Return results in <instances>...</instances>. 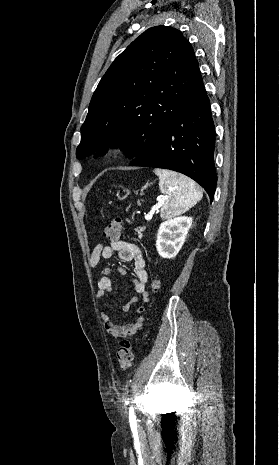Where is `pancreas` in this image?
I'll list each match as a JSON object with an SVG mask.
<instances>
[{
	"label": "pancreas",
	"instance_id": "pancreas-1",
	"mask_svg": "<svg viewBox=\"0 0 279 465\" xmlns=\"http://www.w3.org/2000/svg\"><path fill=\"white\" fill-rule=\"evenodd\" d=\"M145 230V227H138L135 229V231L137 232L138 236L141 237L142 236V232Z\"/></svg>",
	"mask_w": 279,
	"mask_h": 465
}]
</instances>
